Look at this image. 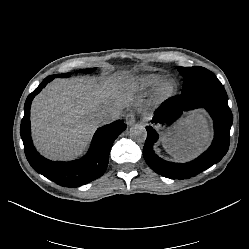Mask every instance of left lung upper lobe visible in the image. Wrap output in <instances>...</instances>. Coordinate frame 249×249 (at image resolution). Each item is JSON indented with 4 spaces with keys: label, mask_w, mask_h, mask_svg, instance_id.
Returning <instances> with one entry per match:
<instances>
[{
    "label": "left lung upper lobe",
    "mask_w": 249,
    "mask_h": 249,
    "mask_svg": "<svg viewBox=\"0 0 249 249\" xmlns=\"http://www.w3.org/2000/svg\"><path fill=\"white\" fill-rule=\"evenodd\" d=\"M183 77V87L181 93H188L201 87L209 85H221L217 77L203 67H177Z\"/></svg>",
    "instance_id": "1"
}]
</instances>
